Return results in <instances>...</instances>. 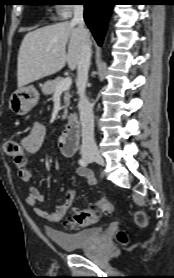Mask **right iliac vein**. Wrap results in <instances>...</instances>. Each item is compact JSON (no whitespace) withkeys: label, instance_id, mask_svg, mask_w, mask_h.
I'll use <instances>...</instances> for the list:
<instances>
[{"label":"right iliac vein","instance_id":"obj_1","mask_svg":"<svg viewBox=\"0 0 174 278\" xmlns=\"http://www.w3.org/2000/svg\"><path fill=\"white\" fill-rule=\"evenodd\" d=\"M84 158L96 161L100 165H104V160L98 151L88 152L84 155Z\"/></svg>","mask_w":174,"mask_h":278}]
</instances>
